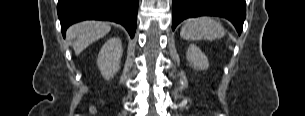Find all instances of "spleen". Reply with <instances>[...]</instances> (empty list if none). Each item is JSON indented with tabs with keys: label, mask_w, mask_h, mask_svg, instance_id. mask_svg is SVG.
<instances>
[{
	"label": "spleen",
	"mask_w": 305,
	"mask_h": 116,
	"mask_svg": "<svg viewBox=\"0 0 305 116\" xmlns=\"http://www.w3.org/2000/svg\"><path fill=\"white\" fill-rule=\"evenodd\" d=\"M224 28L217 21L209 17L187 19L181 28L180 35L186 40H215L223 37Z\"/></svg>",
	"instance_id": "3e777b00"
}]
</instances>
